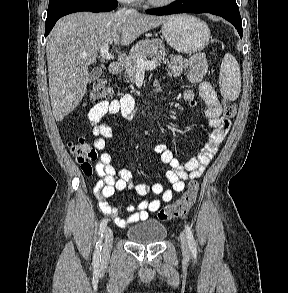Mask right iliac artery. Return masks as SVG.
Returning a JSON list of instances; mask_svg holds the SVG:
<instances>
[{"instance_id": "right-iliac-artery-1", "label": "right iliac artery", "mask_w": 288, "mask_h": 293, "mask_svg": "<svg viewBox=\"0 0 288 293\" xmlns=\"http://www.w3.org/2000/svg\"><path fill=\"white\" fill-rule=\"evenodd\" d=\"M107 222H108V220L106 218H104L100 223L99 240L96 243V249H95L94 259H93V263L95 265H98L99 261L101 260V253H100L101 249H102L101 242H102V237H103V233H104V230L106 228Z\"/></svg>"}]
</instances>
